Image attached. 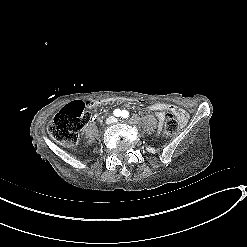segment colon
<instances>
[{"instance_id": "1", "label": "colon", "mask_w": 247, "mask_h": 247, "mask_svg": "<svg viewBox=\"0 0 247 247\" xmlns=\"http://www.w3.org/2000/svg\"><path fill=\"white\" fill-rule=\"evenodd\" d=\"M141 106L146 108L148 103L140 98L109 96L85 103H72L57 113L54 120L48 126L49 135L66 145L77 143L80 130L89 122V116L86 113L100 107L110 105ZM178 129V121L175 116L168 112L165 121V132L168 135L174 134Z\"/></svg>"}]
</instances>
